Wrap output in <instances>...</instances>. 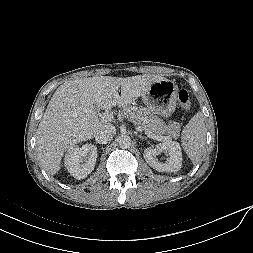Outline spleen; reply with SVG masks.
I'll return each mask as SVG.
<instances>
[{"label":"spleen","mask_w":253,"mask_h":253,"mask_svg":"<svg viewBox=\"0 0 253 253\" xmlns=\"http://www.w3.org/2000/svg\"><path fill=\"white\" fill-rule=\"evenodd\" d=\"M205 122L202 112H197L183 129L181 134L182 147L192 163L198 164L205 146Z\"/></svg>","instance_id":"1"}]
</instances>
